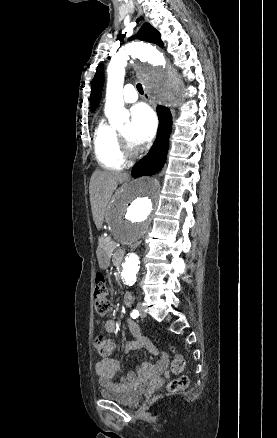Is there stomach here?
Segmentation results:
<instances>
[{
  "label": "stomach",
  "mask_w": 277,
  "mask_h": 438,
  "mask_svg": "<svg viewBox=\"0 0 277 438\" xmlns=\"http://www.w3.org/2000/svg\"><path fill=\"white\" fill-rule=\"evenodd\" d=\"M109 255L103 251H98V262L101 268H106L109 265Z\"/></svg>",
  "instance_id": "1"
}]
</instances>
